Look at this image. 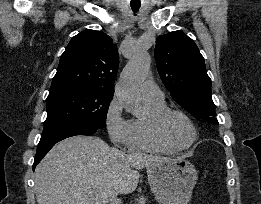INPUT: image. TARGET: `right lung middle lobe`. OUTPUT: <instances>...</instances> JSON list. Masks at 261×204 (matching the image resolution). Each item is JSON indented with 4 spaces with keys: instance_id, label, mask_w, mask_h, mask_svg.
Masks as SVG:
<instances>
[{
    "instance_id": "obj_1",
    "label": "right lung middle lobe",
    "mask_w": 261,
    "mask_h": 204,
    "mask_svg": "<svg viewBox=\"0 0 261 204\" xmlns=\"http://www.w3.org/2000/svg\"><path fill=\"white\" fill-rule=\"evenodd\" d=\"M113 93L98 90H66L47 97L43 133L71 126L104 128Z\"/></svg>"
}]
</instances>
